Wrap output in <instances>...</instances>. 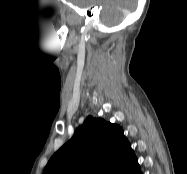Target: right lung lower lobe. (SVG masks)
<instances>
[{"label": "right lung lower lobe", "instance_id": "1", "mask_svg": "<svg viewBox=\"0 0 187 174\" xmlns=\"http://www.w3.org/2000/svg\"><path fill=\"white\" fill-rule=\"evenodd\" d=\"M133 174H141V172H140V168L138 169V171H136V172L133 173Z\"/></svg>", "mask_w": 187, "mask_h": 174}]
</instances>
